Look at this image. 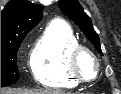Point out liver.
Segmentation results:
<instances>
[{
  "label": "liver",
  "instance_id": "1",
  "mask_svg": "<svg viewBox=\"0 0 121 94\" xmlns=\"http://www.w3.org/2000/svg\"><path fill=\"white\" fill-rule=\"evenodd\" d=\"M1 94H65L54 90L1 89Z\"/></svg>",
  "mask_w": 121,
  "mask_h": 94
}]
</instances>
